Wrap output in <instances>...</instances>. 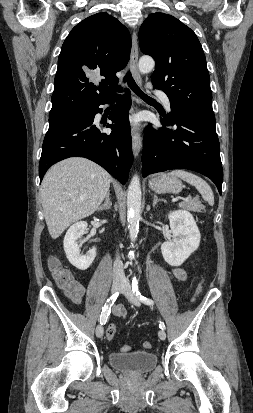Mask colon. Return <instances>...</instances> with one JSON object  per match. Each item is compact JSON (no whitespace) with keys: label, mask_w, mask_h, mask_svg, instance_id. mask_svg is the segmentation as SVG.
<instances>
[{"label":"colon","mask_w":253,"mask_h":413,"mask_svg":"<svg viewBox=\"0 0 253 413\" xmlns=\"http://www.w3.org/2000/svg\"><path fill=\"white\" fill-rule=\"evenodd\" d=\"M49 269L52 273L53 278L57 282V284L61 287L67 286L70 284L73 280V274L65 268L60 260L56 257H51L48 262ZM202 290V283L197 288L196 294L194 298L192 299L193 301L197 298L199 293ZM116 334V326L115 324H110L106 330V337L107 339L111 340ZM143 346L145 349H151L152 348V343L150 341H145L143 343ZM130 347L128 345H123L121 348L122 352H127L129 351Z\"/></svg>","instance_id":"colon-1"}]
</instances>
